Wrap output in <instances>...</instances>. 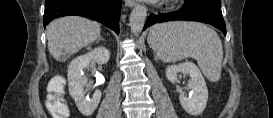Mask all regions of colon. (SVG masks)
<instances>
[{"label":"colon","mask_w":273,"mask_h":118,"mask_svg":"<svg viewBox=\"0 0 273 118\" xmlns=\"http://www.w3.org/2000/svg\"><path fill=\"white\" fill-rule=\"evenodd\" d=\"M61 85L54 81L50 85V94L47 97L46 105L49 111L57 118H66L69 114L68 106L61 94Z\"/></svg>","instance_id":"colon-1"}]
</instances>
